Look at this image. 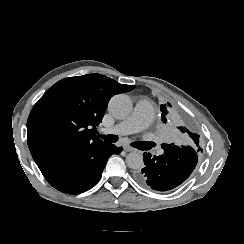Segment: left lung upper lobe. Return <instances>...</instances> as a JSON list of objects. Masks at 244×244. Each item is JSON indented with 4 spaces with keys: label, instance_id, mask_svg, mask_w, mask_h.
<instances>
[{
    "label": "left lung upper lobe",
    "instance_id": "left-lung-upper-lobe-1",
    "mask_svg": "<svg viewBox=\"0 0 244 244\" xmlns=\"http://www.w3.org/2000/svg\"><path fill=\"white\" fill-rule=\"evenodd\" d=\"M169 107H171V104L169 102L167 104L160 105V110L162 112L161 120L164 123H166V117L168 114ZM179 129L185 134L187 141L191 144L188 146H192L194 148L200 147L199 146V135L197 133H195L193 130H189L186 128H183V129L179 128ZM171 145H174V144H171ZM180 146H182V145H180Z\"/></svg>",
    "mask_w": 244,
    "mask_h": 244
}]
</instances>
